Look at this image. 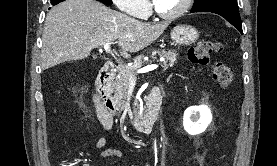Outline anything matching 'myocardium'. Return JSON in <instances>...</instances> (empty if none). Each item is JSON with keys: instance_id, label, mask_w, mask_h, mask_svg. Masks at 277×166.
I'll return each instance as SVG.
<instances>
[{"instance_id": "1", "label": "myocardium", "mask_w": 277, "mask_h": 166, "mask_svg": "<svg viewBox=\"0 0 277 166\" xmlns=\"http://www.w3.org/2000/svg\"><path fill=\"white\" fill-rule=\"evenodd\" d=\"M191 3H192V0H184L181 7L172 13H164V12L160 11L157 8V6L155 5V3H153L152 10H153L154 14L161 19L174 20V19L181 17L184 13H186L188 11V9L190 8Z\"/></svg>"}]
</instances>
